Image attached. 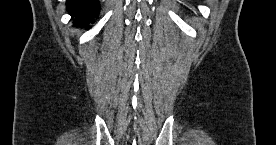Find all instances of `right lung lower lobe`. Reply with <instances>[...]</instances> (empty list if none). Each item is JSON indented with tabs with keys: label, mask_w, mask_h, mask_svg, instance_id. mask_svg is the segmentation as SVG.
<instances>
[{
	"label": "right lung lower lobe",
	"mask_w": 276,
	"mask_h": 145,
	"mask_svg": "<svg viewBox=\"0 0 276 145\" xmlns=\"http://www.w3.org/2000/svg\"><path fill=\"white\" fill-rule=\"evenodd\" d=\"M69 14L73 17L76 26L88 24L93 14L99 10V2L95 0H67Z\"/></svg>",
	"instance_id": "98d812e1"
}]
</instances>
